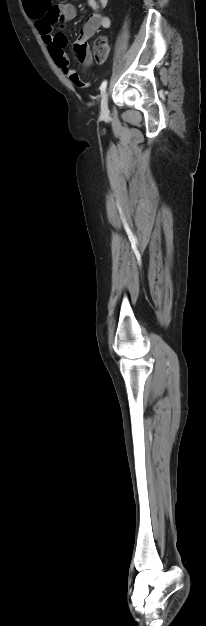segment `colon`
<instances>
[{"mask_svg": "<svg viewBox=\"0 0 206 626\" xmlns=\"http://www.w3.org/2000/svg\"><path fill=\"white\" fill-rule=\"evenodd\" d=\"M109 44L103 37L98 38L93 46V56L97 62H104L109 55Z\"/></svg>", "mask_w": 206, "mask_h": 626, "instance_id": "5ec220e1", "label": "colon"}]
</instances>
